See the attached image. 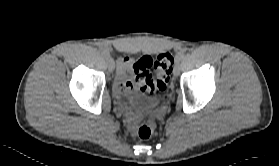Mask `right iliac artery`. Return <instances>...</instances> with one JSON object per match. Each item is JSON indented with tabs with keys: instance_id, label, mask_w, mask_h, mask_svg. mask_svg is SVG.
<instances>
[{
	"instance_id": "obj_1",
	"label": "right iliac artery",
	"mask_w": 279,
	"mask_h": 166,
	"mask_svg": "<svg viewBox=\"0 0 279 166\" xmlns=\"http://www.w3.org/2000/svg\"><path fill=\"white\" fill-rule=\"evenodd\" d=\"M101 54H102L104 57H106V58L110 57L109 52H108L107 50H105V49H102V50H101Z\"/></svg>"
}]
</instances>
